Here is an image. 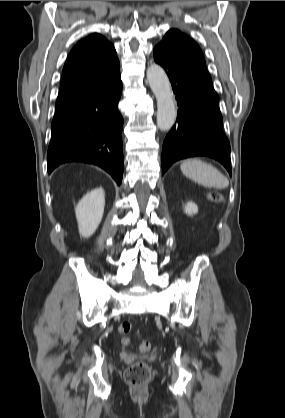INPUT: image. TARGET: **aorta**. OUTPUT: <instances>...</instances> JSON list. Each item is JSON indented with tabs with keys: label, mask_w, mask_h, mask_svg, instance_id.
<instances>
[{
	"label": "aorta",
	"mask_w": 285,
	"mask_h": 418,
	"mask_svg": "<svg viewBox=\"0 0 285 418\" xmlns=\"http://www.w3.org/2000/svg\"><path fill=\"white\" fill-rule=\"evenodd\" d=\"M147 80L157 100V126L162 131H168L177 116L170 81L163 68L157 64L148 67Z\"/></svg>",
	"instance_id": "1"
}]
</instances>
